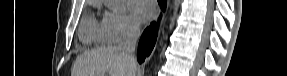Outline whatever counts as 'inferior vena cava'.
<instances>
[{
    "mask_svg": "<svg viewBox=\"0 0 287 76\" xmlns=\"http://www.w3.org/2000/svg\"><path fill=\"white\" fill-rule=\"evenodd\" d=\"M140 36V25L131 22L125 35V39L119 44L118 50L125 55L132 66L136 67L135 47Z\"/></svg>",
    "mask_w": 287,
    "mask_h": 76,
    "instance_id": "inferior-vena-cava-1",
    "label": "inferior vena cava"
}]
</instances>
